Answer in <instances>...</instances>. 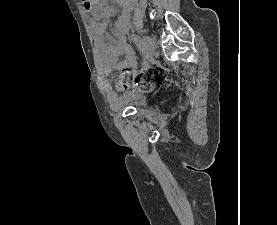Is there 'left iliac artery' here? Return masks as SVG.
Returning <instances> with one entry per match:
<instances>
[{"label": "left iliac artery", "mask_w": 277, "mask_h": 225, "mask_svg": "<svg viewBox=\"0 0 277 225\" xmlns=\"http://www.w3.org/2000/svg\"><path fill=\"white\" fill-rule=\"evenodd\" d=\"M131 39L132 41L137 45V46H141V39H140V36H138L137 34L135 33H132L131 34Z\"/></svg>", "instance_id": "obj_1"}]
</instances>
